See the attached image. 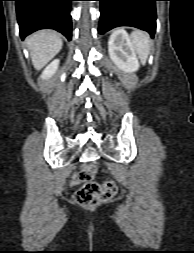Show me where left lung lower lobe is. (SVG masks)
<instances>
[{
    "mask_svg": "<svg viewBox=\"0 0 194 253\" xmlns=\"http://www.w3.org/2000/svg\"><path fill=\"white\" fill-rule=\"evenodd\" d=\"M100 1L99 34L118 26H132L147 31L152 37L156 31L155 2L160 0H98Z\"/></svg>",
    "mask_w": 194,
    "mask_h": 253,
    "instance_id": "1",
    "label": "left lung lower lobe"
}]
</instances>
